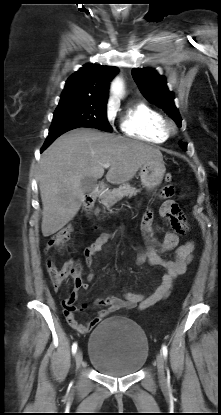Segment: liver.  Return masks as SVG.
I'll use <instances>...</instances> for the list:
<instances>
[{
  "mask_svg": "<svg viewBox=\"0 0 221 415\" xmlns=\"http://www.w3.org/2000/svg\"><path fill=\"white\" fill-rule=\"evenodd\" d=\"M153 159H163L159 149L95 129L79 128L60 136L40 160L43 236L56 233L75 217L84 201L81 180L101 178L103 163L111 164L106 180L121 184Z\"/></svg>",
  "mask_w": 221,
  "mask_h": 415,
  "instance_id": "liver-1",
  "label": "liver"
}]
</instances>
